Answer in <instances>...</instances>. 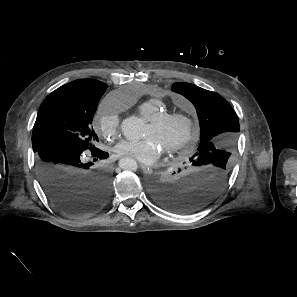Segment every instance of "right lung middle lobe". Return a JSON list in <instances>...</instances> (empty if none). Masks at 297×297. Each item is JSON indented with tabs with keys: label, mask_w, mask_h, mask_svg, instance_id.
Segmentation results:
<instances>
[{
	"label": "right lung middle lobe",
	"mask_w": 297,
	"mask_h": 297,
	"mask_svg": "<svg viewBox=\"0 0 297 297\" xmlns=\"http://www.w3.org/2000/svg\"><path fill=\"white\" fill-rule=\"evenodd\" d=\"M105 90L93 93L70 90L45 100L33 127L34 152L50 145H64L80 152L95 151L93 142L98 138L91 121Z\"/></svg>",
	"instance_id": "1"
}]
</instances>
